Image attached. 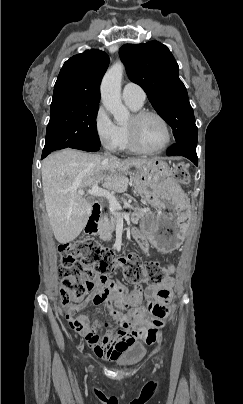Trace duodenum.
Returning a JSON list of instances; mask_svg holds the SVG:
<instances>
[{"label":"duodenum","mask_w":243,"mask_h":404,"mask_svg":"<svg viewBox=\"0 0 243 404\" xmlns=\"http://www.w3.org/2000/svg\"><path fill=\"white\" fill-rule=\"evenodd\" d=\"M101 206L98 202L93 203L91 208L90 217L87 221L85 231L89 235H94L97 232V222L99 219Z\"/></svg>","instance_id":"410a0bca"}]
</instances>
